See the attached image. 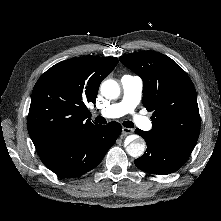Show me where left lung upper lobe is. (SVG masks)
<instances>
[{
    "label": "left lung upper lobe",
    "mask_w": 221,
    "mask_h": 221,
    "mask_svg": "<svg viewBox=\"0 0 221 221\" xmlns=\"http://www.w3.org/2000/svg\"><path fill=\"white\" fill-rule=\"evenodd\" d=\"M143 80L142 102L153 112L150 138L193 150L200 132V115L194 85L171 58L154 51L120 57Z\"/></svg>",
    "instance_id": "left-lung-upper-lobe-1"
}]
</instances>
